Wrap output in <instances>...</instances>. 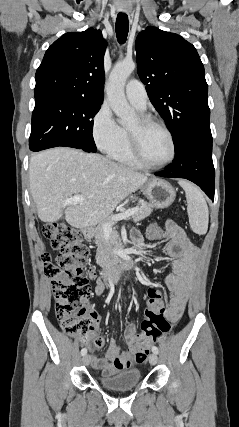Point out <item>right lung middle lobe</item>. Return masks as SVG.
Segmentation results:
<instances>
[{
	"label": "right lung middle lobe",
	"mask_w": 239,
	"mask_h": 427,
	"mask_svg": "<svg viewBox=\"0 0 239 427\" xmlns=\"http://www.w3.org/2000/svg\"><path fill=\"white\" fill-rule=\"evenodd\" d=\"M101 105L102 103L66 98L35 100L30 150L67 146L96 152L92 118Z\"/></svg>",
	"instance_id": "dd1d6c3e"
}]
</instances>
